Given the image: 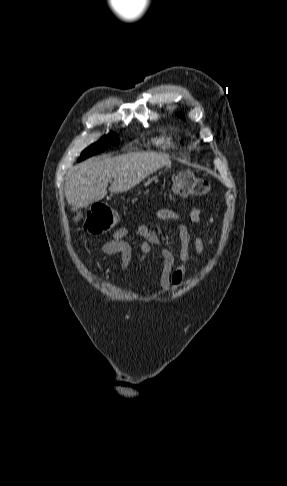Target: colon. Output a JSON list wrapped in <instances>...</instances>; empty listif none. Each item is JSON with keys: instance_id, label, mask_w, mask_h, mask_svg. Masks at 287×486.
Segmentation results:
<instances>
[{"instance_id": "1", "label": "colon", "mask_w": 287, "mask_h": 486, "mask_svg": "<svg viewBox=\"0 0 287 486\" xmlns=\"http://www.w3.org/2000/svg\"><path fill=\"white\" fill-rule=\"evenodd\" d=\"M174 190L186 197L204 196L210 193L211 185L190 171H180L175 176ZM117 216L113 209L105 203H97L90 209L84 224L87 233L100 235L111 230Z\"/></svg>"}]
</instances>
